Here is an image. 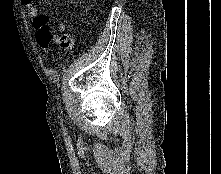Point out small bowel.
I'll use <instances>...</instances> for the list:
<instances>
[{"mask_svg": "<svg viewBox=\"0 0 221 174\" xmlns=\"http://www.w3.org/2000/svg\"><path fill=\"white\" fill-rule=\"evenodd\" d=\"M23 3L28 15L33 19V25L36 30V38L38 44L43 49H46L52 41L65 49L73 46V41L68 35L69 26L66 23L59 24L61 34H51L48 25V18L39 15L36 0H23Z\"/></svg>", "mask_w": 221, "mask_h": 174, "instance_id": "small-bowel-1", "label": "small bowel"}]
</instances>
